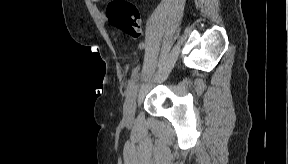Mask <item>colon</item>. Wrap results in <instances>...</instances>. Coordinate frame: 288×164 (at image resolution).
I'll use <instances>...</instances> for the list:
<instances>
[{
	"instance_id": "1",
	"label": "colon",
	"mask_w": 288,
	"mask_h": 164,
	"mask_svg": "<svg viewBox=\"0 0 288 164\" xmlns=\"http://www.w3.org/2000/svg\"><path fill=\"white\" fill-rule=\"evenodd\" d=\"M106 18L114 27L122 29L129 36L134 38L143 37L140 12L130 1H110L106 7Z\"/></svg>"
}]
</instances>
